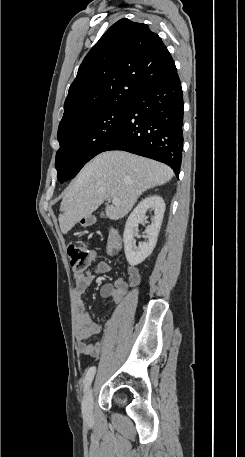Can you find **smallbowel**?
I'll return each instance as SVG.
<instances>
[{
	"mask_svg": "<svg viewBox=\"0 0 245 457\" xmlns=\"http://www.w3.org/2000/svg\"><path fill=\"white\" fill-rule=\"evenodd\" d=\"M112 269L108 263H98L93 271L86 273H75V294H76V343L78 351L83 355L97 357L103 350H114L122 348L127 337V331L123 328L109 326L103 337L93 343L87 340L102 330V324L95 320L86 310L83 296L91 285L96 274L107 273ZM129 280L118 278L113 283H106L100 290L101 297L111 298L113 304H119L129 287L137 286L140 283V273L136 267L130 266L127 269Z\"/></svg>",
	"mask_w": 245,
	"mask_h": 457,
	"instance_id": "c3829d8e",
	"label": "small bowel"
}]
</instances>
